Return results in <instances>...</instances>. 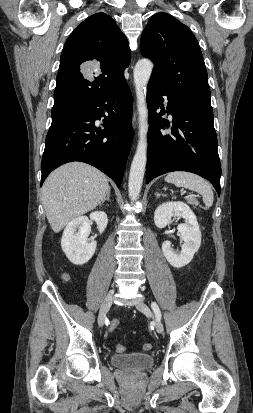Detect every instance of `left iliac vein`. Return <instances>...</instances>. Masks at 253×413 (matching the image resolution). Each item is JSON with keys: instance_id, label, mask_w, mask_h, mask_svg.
I'll use <instances>...</instances> for the list:
<instances>
[{"instance_id": "1", "label": "left iliac vein", "mask_w": 253, "mask_h": 413, "mask_svg": "<svg viewBox=\"0 0 253 413\" xmlns=\"http://www.w3.org/2000/svg\"><path fill=\"white\" fill-rule=\"evenodd\" d=\"M135 306H136V308H137L139 311H141L142 313H144V314H146V315H148V316H152V317H153V319H154V325H155L156 331H157L158 333L161 334V333L164 331V327H163V324H162L161 320H160L159 318H157V317H154V316L152 315V312H151L150 308H149L142 300H138V301L136 302Z\"/></svg>"}]
</instances>
